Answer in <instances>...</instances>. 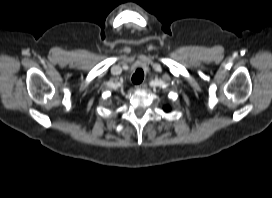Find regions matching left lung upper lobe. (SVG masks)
Returning a JSON list of instances; mask_svg holds the SVG:
<instances>
[{"instance_id":"obj_1","label":"left lung upper lobe","mask_w":272,"mask_h":198,"mask_svg":"<svg viewBox=\"0 0 272 198\" xmlns=\"http://www.w3.org/2000/svg\"><path fill=\"white\" fill-rule=\"evenodd\" d=\"M165 111H169V108H168V107H166V108H165Z\"/></svg>"}]
</instances>
